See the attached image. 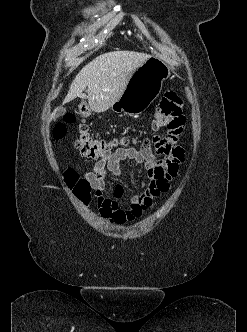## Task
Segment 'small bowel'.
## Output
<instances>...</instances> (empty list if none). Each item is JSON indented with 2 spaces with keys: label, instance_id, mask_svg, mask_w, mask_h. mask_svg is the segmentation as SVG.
<instances>
[{
  "label": "small bowel",
  "instance_id": "small-bowel-1",
  "mask_svg": "<svg viewBox=\"0 0 247 332\" xmlns=\"http://www.w3.org/2000/svg\"><path fill=\"white\" fill-rule=\"evenodd\" d=\"M178 136L179 133L169 134L160 145L155 143L154 149L149 139L142 142L140 149L118 148L102 156L95 162L91 171L84 173V179L90 183L97 195L99 212L104 219L118 225L133 221L152 205L154 198L169 190L171 181L177 176L184 159V149L178 143ZM124 160H133L143 165L147 172V181L143 192L132 196L129 206L121 209L118 199L124 194L123 186L118 185L115 188L114 198L105 197L103 194L109 172L117 178L123 177L121 162Z\"/></svg>",
  "mask_w": 247,
  "mask_h": 332
}]
</instances>
